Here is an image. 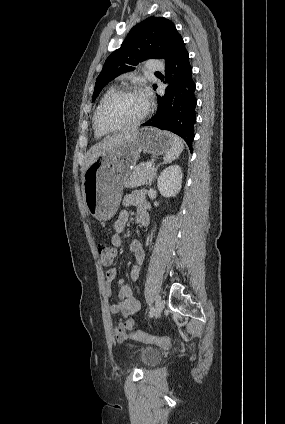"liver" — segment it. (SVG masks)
<instances>
[{
  "label": "liver",
  "mask_w": 285,
  "mask_h": 424,
  "mask_svg": "<svg viewBox=\"0 0 285 424\" xmlns=\"http://www.w3.org/2000/svg\"><path fill=\"white\" fill-rule=\"evenodd\" d=\"M138 131L137 128H132L130 130L124 131L122 133L106 137L103 141L92 146L86 156L85 164L83 168V174L88 169V167L105 151L118 147L125 143L127 140L131 139L135 133Z\"/></svg>",
  "instance_id": "1"
}]
</instances>
